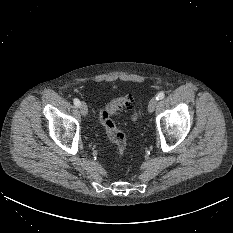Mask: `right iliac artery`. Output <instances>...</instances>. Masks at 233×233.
I'll list each match as a JSON object with an SVG mask.
<instances>
[{"instance_id": "obj_1", "label": "right iliac artery", "mask_w": 233, "mask_h": 233, "mask_svg": "<svg viewBox=\"0 0 233 233\" xmlns=\"http://www.w3.org/2000/svg\"><path fill=\"white\" fill-rule=\"evenodd\" d=\"M73 102H74L75 106H77V107L80 106V101H79V99L75 98V99L73 100Z\"/></svg>"}]
</instances>
